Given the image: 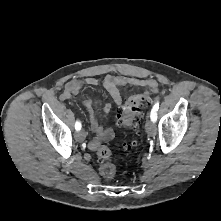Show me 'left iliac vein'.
<instances>
[{"label":"left iliac vein","instance_id":"obj_1","mask_svg":"<svg viewBox=\"0 0 221 221\" xmlns=\"http://www.w3.org/2000/svg\"><path fill=\"white\" fill-rule=\"evenodd\" d=\"M145 128H146V132L150 136H154L157 132L156 125L154 124V122L152 120H147L146 121Z\"/></svg>","mask_w":221,"mask_h":221}]
</instances>
